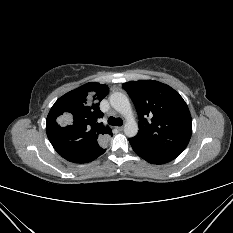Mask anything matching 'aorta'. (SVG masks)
<instances>
[{
  "label": "aorta",
  "mask_w": 233,
  "mask_h": 233,
  "mask_svg": "<svg viewBox=\"0 0 233 233\" xmlns=\"http://www.w3.org/2000/svg\"><path fill=\"white\" fill-rule=\"evenodd\" d=\"M111 106L126 119L124 133L127 137H134L138 133V124L128 97L121 93H112L109 97Z\"/></svg>",
  "instance_id": "762f6f07"
}]
</instances>
